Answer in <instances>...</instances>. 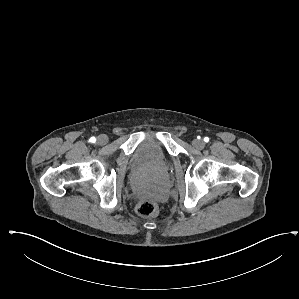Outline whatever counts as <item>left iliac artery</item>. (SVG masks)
I'll return each instance as SVG.
<instances>
[{
  "label": "left iliac artery",
  "mask_w": 299,
  "mask_h": 299,
  "mask_svg": "<svg viewBox=\"0 0 299 299\" xmlns=\"http://www.w3.org/2000/svg\"><path fill=\"white\" fill-rule=\"evenodd\" d=\"M204 141H205V142H208V141H209V138H208V137H205V138H204Z\"/></svg>",
  "instance_id": "44dca946"
}]
</instances>
